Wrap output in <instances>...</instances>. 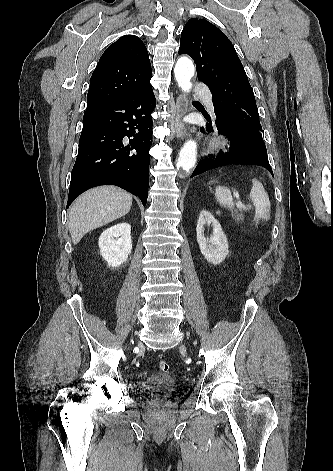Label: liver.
Instances as JSON below:
<instances>
[{
  "mask_svg": "<svg viewBox=\"0 0 333 471\" xmlns=\"http://www.w3.org/2000/svg\"><path fill=\"white\" fill-rule=\"evenodd\" d=\"M132 206V195L115 186H101L80 195L69 211L68 228L73 244L91 230L126 215Z\"/></svg>",
  "mask_w": 333,
  "mask_h": 471,
  "instance_id": "obj_1",
  "label": "liver"
}]
</instances>
